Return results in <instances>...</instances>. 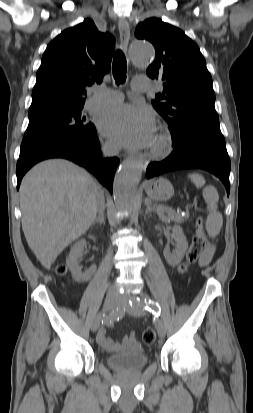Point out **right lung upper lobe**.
Masks as SVG:
<instances>
[{"label": "right lung upper lobe", "instance_id": "1", "mask_svg": "<svg viewBox=\"0 0 253 413\" xmlns=\"http://www.w3.org/2000/svg\"><path fill=\"white\" fill-rule=\"evenodd\" d=\"M115 39L85 19L47 46L37 71L29 112L84 105L86 87L110 71Z\"/></svg>", "mask_w": 253, "mask_h": 413}]
</instances>
